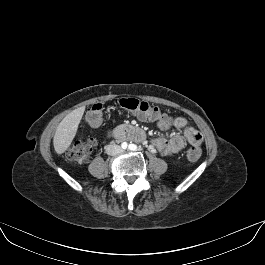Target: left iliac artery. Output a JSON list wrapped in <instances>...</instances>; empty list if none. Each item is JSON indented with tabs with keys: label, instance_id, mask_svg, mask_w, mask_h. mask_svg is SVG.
<instances>
[{
	"label": "left iliac artery",
	"instance_id": "left-iliac-artery-1",
	"mask_svg": "<svg viewBox=\"0 0 265 265\" xmlns=\"http://www.w3.org/2000/svg\"><path fill=\"white\" fill-rule=\"evenodd\" d=\"M128 148H129L130 150H132V151H135V150H137V145H135V144H130Z\"/></svg>",
	"mask_w": 265,
	"mask_h": 265
}]
</instances>
